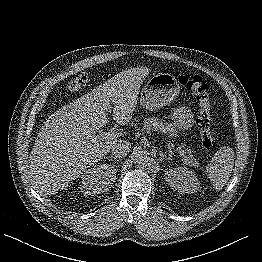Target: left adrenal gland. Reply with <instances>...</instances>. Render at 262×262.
Wrapping results in <instances>:
<instances>
[{
  "label": "left adrenal gland",
  "mask_w": 262,
  "mask_h": 262,
  "mask_svg": "<svg viewBox=\"0 0 262 262\" xmlns=\"http://www.w3.org/2000/svg\"><path fill=\"white\" fill-rule=\"evenodd\" d=\"M159 155H160V157H161V160H164V159L173 160V158L167 156V155L164 154L161 150L159 151Z\"/></svg>",
  "instance_id": "1"
}]
</instances>
